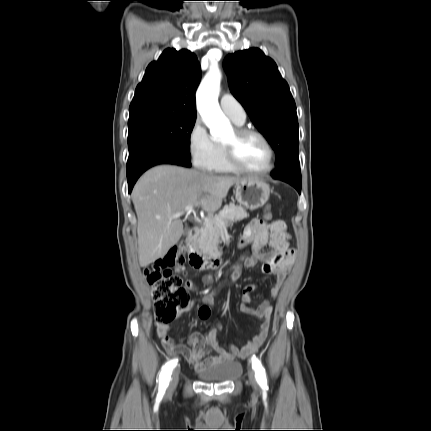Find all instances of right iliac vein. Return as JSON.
<instances>
[{
	"instance_id": "obj_1",
	"label": "right iliac vein",
	"mask_w": 431,
	"mask_h": 431,
	"mask_svg": "<svg viewBox=\"0 0 431 431\" xmlns=\"http://www.w3.org/2000/svg\"><path fill=\"white\" fill-rule=\"evenodd\" d=\"M178 379H179V370L175 369L172 377H171V381H170V385H169V391H172L175 389V387L177 386L178 383Z\"/></svg>"
}]
</instances>
